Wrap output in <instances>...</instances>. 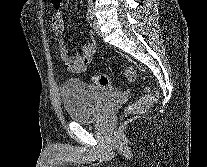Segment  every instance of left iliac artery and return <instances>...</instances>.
<instances>
[{"label":"left iliac artery","mask_w":207,"mask_h":167,"mask_svg":"<svg viewBox=\"0 0 207 167\" xmlns=\"http://www.w3.org/2000/svg\"><path fill=\"white\" fill-rule=\"evenodd\" d=\"M87 13H88V17L92 20L94 17V5L91 1H89L88 3Z\"/></svg>","instance_id":"44dca946"}]
</instances>
